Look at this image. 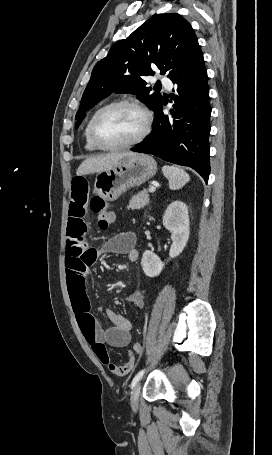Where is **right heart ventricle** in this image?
<instances>
[{"instance_id": "1", "label": "right heart ventricle", "mask_w": 272, "mask_h": 455, "mask_svg": "<svg viewBox=\"0 0 272 455\" xmlns=\"http://www.w3.org/2000/svg\"><path fill=\"white\" fill-rule=\"evenodd\" d=\"M90 122V121H89ZM89 122L86 125L85 131H84V136H85V147L88 151L90 152H96L98 149L91 143L90 138H89V133H88V125Z\"/></svg>"}]
</instances>
